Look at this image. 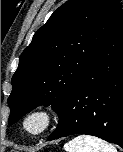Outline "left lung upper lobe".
<instances>
[{"mask_svg":"<svg viewBox=\"0 0 123 152\" xmlns=\"http://www.w3.org/2000/svg\"><path fill=\"white\" fill-rule=\"evenodd\" d=\"M121 10L118 0H68L51 15L19 58L9 125L39 105L60 114Z\"/></svg>","mask_w":123,"mask_h":152,"instance_id":"obj_1","label":"left lung upper lobe"}]
</instances>
